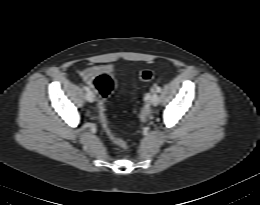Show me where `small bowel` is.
<instances>
[{
    "mask_svg": "<svg viewBox=\"0 0 260 205\" xmlns=\"http://www.w3.org/2000/svg\"><path fill=\"white\" fill-rule=\"evenodd\" d=\"M100 73H106L115 78V70L113 66L109 64L85 67L80 71V76L87 85L93 88L94 80Z\"/></svg>",
    "mask_w": 260,
    "mask_h": 205,
    "instance_id": "c3829d8e",
    "label": "small bowel"
}]
</instances>
